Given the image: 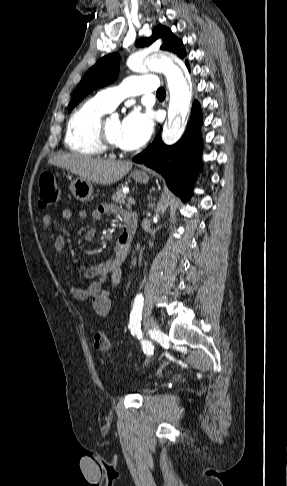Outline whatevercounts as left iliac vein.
Instances as JSON below:
<instances>
[{
    "instance_id": "4c4485c4",
    "label": "left iliac vein",
    "mask_w": 287,
    "mask_h": 486,
    "mask_svg": "<svg viewBox=\"0 0 287 486\" xmlns=\"http://www.w3.org/2000/svg\"><path fill=\"white\" fill-rule=\"evenodd\" d=\"M144 325L150 330L155 339H165V334L161 330L155 328V321L152 318H146L144 320Z\"/></svg>"
}]
</instances>
